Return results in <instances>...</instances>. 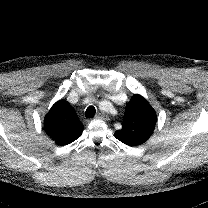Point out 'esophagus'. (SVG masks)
<instances>
[{
  "label": "esophagus",
  "instance_id": "esophagus-1",
  "mask_svg": "<svg viewBox=\"0 0 208 208\" xmlns=\"http://www.w3.org/2000/svg\"><path fill=\"white\" fill-rule=\"evenodd\" d=\"M96 119L108 120V116L104 113H99L95 116Z\"/></svg>",
  "mask_w": 208,
  "mask_h": 208
}]
</instances>
